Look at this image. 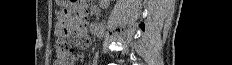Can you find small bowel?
Wrapping results in <instances>:
<instances>
[{"label": "small bowel", "instance_id": "c3829d8e", "mask_svg": "<svg viewBox=\"0 0 232 65\" xmlns=\"http://www.w3.org/2000/svg\"><path fill=\"white\" fill-rule=\"evenodd\" d=\"M70 17H80V12H57L55 36L64 37L68 43H75L76 38H82L81 45L88 46L90 41L87 39V33H79V26H73L70 23ZM74 63L75 57L71 54L66 59L57 61L55 65H73Z\"/></svg>", "mask_w": 232, "mask_h": 65}]
</instances>
